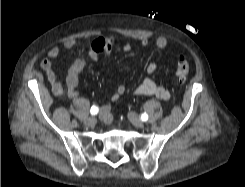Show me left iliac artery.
Returning <instances> with one entry per match:
<instances>
[{
    "instance_id": "44dca946",
    "label": "left iliac artery",
    "mask_w": 245,
    "mask_h": 187,
    "mask_svg": "<svg viewBox=\"0 0 245 187\" xmlns=\"http://www.w3.org/2000/svg\"><path fill=\"white\" fill-rule=\"evenodd\" d=\"M141 120L142 121H147L148 120V115L146 113L141 114Z\"/></svg>"
}]
</instances>
